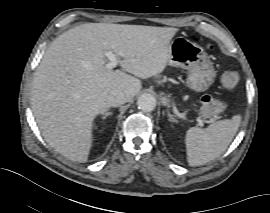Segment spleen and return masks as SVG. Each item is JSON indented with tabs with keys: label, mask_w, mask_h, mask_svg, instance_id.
<instances>
[{
	"label": "spleen",
	"mask_w": 270,
	"mask_h": 213,
	"mask_svg": "<svg viewBox=\"0 0 270 213\" xmlns=\"http://www.w3.org/2000/svg\"><path fill=\"white\" fill-rule=\"evenodd\" d=\"M241 123V116L212 123L206 129L192 127L185 136L190 166L204 165L219 157L229 146Z\"/></svg>",
	"instance_id": "3e777b00"
}]
</instances>
